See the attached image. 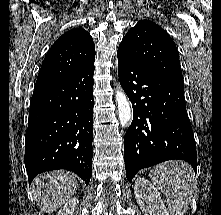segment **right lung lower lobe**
<instances>
[{"instance_id": "right-lung-lower-lobe-1", "label": "right lung lower lobe", "mask_w": 221, "mask_h": 215, "mask_svg": "<svg viewBox=\"0 0 221 215\" xmlns=\"http://www.w3.org/2000/svg\"><path fill=\"white\" fill-rule=\"evenodd\" d=\"M94 61L76 74L34 89L26 131L28 179L66 169L88 185L92 176Z\"/></svg>"}]
</instances>
